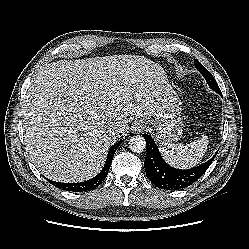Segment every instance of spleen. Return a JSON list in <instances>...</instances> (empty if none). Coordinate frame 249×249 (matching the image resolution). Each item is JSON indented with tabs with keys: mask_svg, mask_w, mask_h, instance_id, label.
<instances>
[{
	"mask_svg": "<svg viewBox=\"0 0 249 249\" xmlns=\"http://www.w3.org/2000/svg\"><path fill=\"white\" fill-rule=\"evenodd\" d=\"M208 143V136H202L186 144L162 143L160 151L167 163L177 168L187 169L201 162Z\"/></svg>",
	"mask_w": 249,
	"mask_h": 249,
	"instance_id": "1",
	"label": "spleen"
}]
</instances>
